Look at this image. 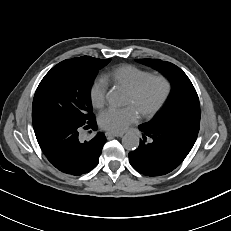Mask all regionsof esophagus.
Masks as SVG:
<instances>
[{
  "mask_svg": "<svg viewBox=\"0 0 231 231\" xmlns=\"http://www.w3.org/2000/svg\"><path fill=\"white\" fill-rule=\"evenodd\" d=\"M106 137H121L123 133H113V132H106Z\"/></svg>",
  "mask_w": 231,
  "mask_h": 231,
  "instance_id": "esophagus-1",
  "label": "esophagus"
}]
</instances>
